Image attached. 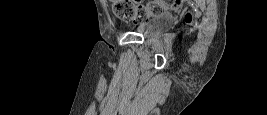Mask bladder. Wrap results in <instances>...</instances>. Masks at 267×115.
Instances as JSON below:
<instances>
[{"mask_svg": "<svg viewBox=\"0 0 267 115\" xmlns=\"http://www.w3.org/2000/svg\"><path fill=\"white\" fill-rule=\"evenodd\" d=\"M173 21L174 19L171 14L161 13L142 22L134 28V31L145 36L157 35L169 29L173 25Z\"/></svg>", "mask_w": 267, "mask_h": 115, "instance_id": "31cf9c89", "label": "bladder"}]
</instances>
